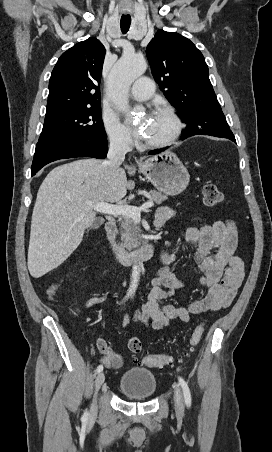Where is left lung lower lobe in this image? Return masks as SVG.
<instances>
[{
    "mask_svg": "<svg viewBox=\"0 0 272 452\" xmlns=\"http://www.w3.org/2000/svg\"><path fill=\"white\" fill-rule=\"evenodd\" d=\"M197 134L206 135V134H203V133H201L199 131H196V130H186V131L183 132V134L181 136V139H186L187 137H190V136H193V135H197ZM211 136H213V135H211ZM216 137H225V138H228V139L232 140L233 142H236L233 133L232 134H228V135H223V136H216ZM165 149L166 148L153 150V151L149 152V154H151V155L158 154V153L164 151Z\"/></svg>",
    "mask_w": 272,
    "mask_h": 452,
    "instance_id": "obj_1",
    "label": "left lung lower lobe"
}]
</instances>
